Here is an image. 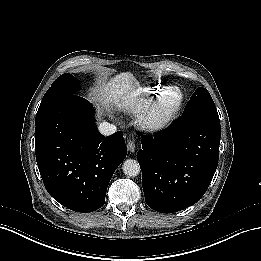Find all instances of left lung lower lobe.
Returning <instances> with one entry per match:
<instances>
[{"mask_svg": "<svg viewBox=\"0 0 261 261\" xmlns=\"http://www.w3.org/2000/svg\"><path fill=\"white\" fill-rule=\"evenodd\" d=\"M220 129L218 115L196 113L182 116L154 139L141 135L137 159L150 208L173 213L201 199L217 168Z\"/></svg>", "mask_w": 261, "mask_h": 261, "instance_id": "1", "label": "left lung lower lobe"}]
</instances>
